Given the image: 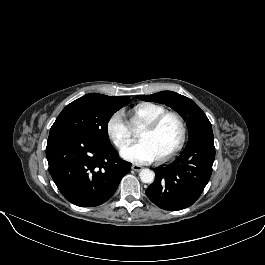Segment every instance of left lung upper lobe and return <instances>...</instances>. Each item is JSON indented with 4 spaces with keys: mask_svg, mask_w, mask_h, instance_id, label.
<instances>
[{
    "mask_svg": "<svg viewBox=\"0 0 265 265\" xmlns=\"http://www.w3.org/2000/svg\"><path fill=\"white\" fill-rule=\"evenodd\" d=\"M137 98L165 104L174 109L186 121L189 136L200 129L211 127L210 121L199 106L190 98L176 92L162 91L152 95H138Z\"/></svg>",
    "mask_w": 265,
    "mask_h": 265,
    "instance_id": "1",
    "label": "left lung upper lobe"
}]
</instances>
